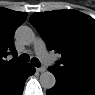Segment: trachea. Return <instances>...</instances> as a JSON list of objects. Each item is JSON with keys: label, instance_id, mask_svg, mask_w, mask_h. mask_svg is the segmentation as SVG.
Segmentation results:
<instances>
[{"label": "trachea", "instance_id": "1", "mask_svg": "<svg viewBox=\"0 0 95 95\" xmlns=\"http://www.w3.org/2000/svg\"><path fill=\"white\" fill-rule=\"evenodd\" d=\"M18 60L21 61V62H28L29 61V56L27 54H22V55L19 56ZM31 63L35 67H40V65H41L40 61L37 58H32Z\"/></svg>", "mask_w": 95, "mask_h": 95}]
</instances>
